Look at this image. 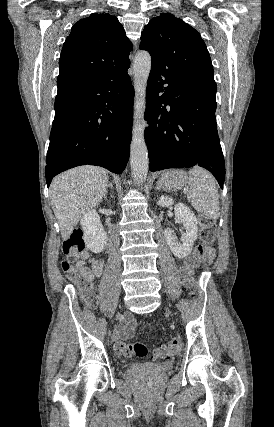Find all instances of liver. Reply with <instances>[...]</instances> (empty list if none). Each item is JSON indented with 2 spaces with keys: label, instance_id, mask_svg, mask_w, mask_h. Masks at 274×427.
Instances as JSON below:
<instances>
[{
  "label": "liver",
  "instance_id": "6515ba94",
  "mask_svg": "<svg viewBox=\"0 0 274 427\" xmlns=\"http://www.w3.org/2000/svg\"><path fill=\"white\" fill-rule=\"evenodd\" d=\"M108 184L105 170L97 166H79L52 180L49 196L63 239L70 237L83 214L99 206Z\"/></svg>",
  "mask_w": 274,
  "mask_h": 427
}]
</instances>
